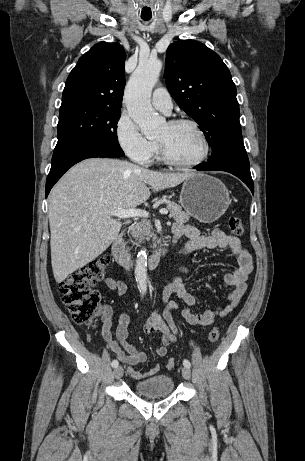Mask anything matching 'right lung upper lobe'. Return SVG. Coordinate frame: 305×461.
I'll use <instances>...</instances> for the list:
<instances>
[{"mask_svg": "<svg viewBox=\"0 0 305 461\" xmlns=\"http://www.w3.org/2000/svg\"><path fill=\"white\" fill-rule=\"evenodd\" d=\"M126 53L118 43L100 42L80 57L65 84L60 108L93 104L120 109Z\"/></svg>", "mask_w": 305, "mask_h": 461, "instance_id": "obj_1", "label": "right lung upper lobe"}]
</instances>
